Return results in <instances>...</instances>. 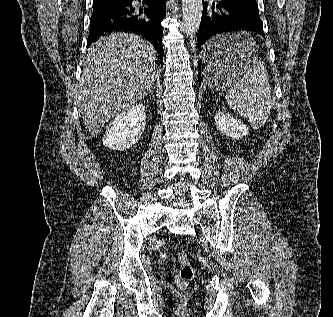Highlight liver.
I'll list each match as a JSON object with an SVG mask.
<instances>
[{"label": "liver", "instance_id": "obj_1", "mask_svg": "<svg viewBox=\"0 0 333 317\" xmlns=\"http://www.w3.org/2000/svg\"><path fill=\"white\" fill-rule=\"evenodd\" d=\"M155 53L150 42L128 33L101 37L89 47L76 101L92 136L153 88Z\"/></svg>", "mask_w": 333, "mask_h": 317}]
</instances>
